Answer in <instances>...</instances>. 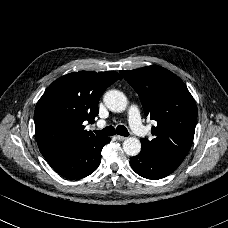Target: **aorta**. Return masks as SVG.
Here are the masks:
<instances>
[{
  "instance_id": "aorta-1",
  "label": "aorta",
  "mask_w": 228,
  "mask_h": 228,
  "mask_svg": "<svg viewBox=\"0 0 228 228\" xmlns=\"http://www.w3.org/2000/svg\"><path fill=\"white\" fill-rule=\"evenodd\" d=\"M103 101L106 107L112 112H122L128 104L126 96L119 90L107 91ZM123 150L129 156H136L140 153L141 143L137 138L129 137L123 142Z\"/></svg>"
}]
</instances>
